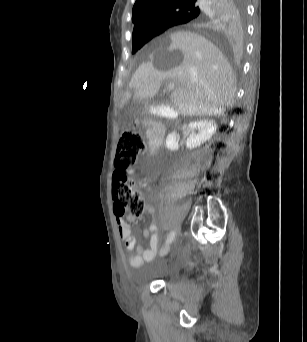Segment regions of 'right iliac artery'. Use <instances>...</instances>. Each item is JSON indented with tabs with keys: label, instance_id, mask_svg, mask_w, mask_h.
<instances>
[{
	"label": "right iliac artery",
	"instance_id": "82829eb1",
	"mask_svg": "<svg viewBox=\"0 0 307 342\" xmlns=\"http://www.w3.org/2000/svg\"><path fill=\"white\" fill-rule=\"evenodd\" d=\"M175 238V231H171L169 236L167 237L166 244L171 243Z\"/></svg>",
	"mask_w": 307,
	"mask_h": 342
}]
</instances>
